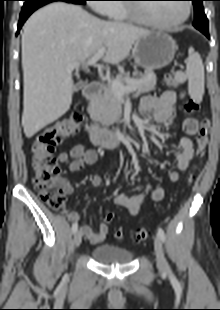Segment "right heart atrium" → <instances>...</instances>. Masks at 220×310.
<instances>
[{
	"label": "right heart atrium",
	"instance_id": "right-heart-atrium-1",
	"mask_svg": "<svg viewBox=\"0 0 220 310\" xmlns=\"http://www.w3.org/2000/svg\"><path fill=\"white\" fill-rule=\"evenodd\" d=\"M95 3L92 5L93 9L101 14L106 15L107 10L111 7L110 4H106L107 0H92Z\"/></svg>",
	"mask_w": 220,
	"mask_h": 310
}]
</instances>
